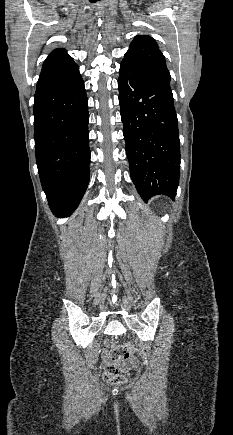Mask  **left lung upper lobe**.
Instances as JSON below:
<instances>
[{
    "mask_svg": "<svg viewBox=\"0 0 233 435\" xmlns=\"http://www.w3.org/2000/svg\"><path fill=\"white\" fill-rule=\"evenodd\" d=\"M121 64L148 80L170 87L165 57L150 36H135Z\"/></svg>",
    "mask_w": 233,
    "mask_h": 435,
    "instance_id": "left-lung-upper-lobe-1",
    "label": "left lung upper lobe"
}]
</instances>
